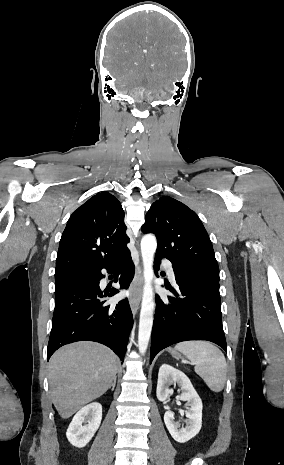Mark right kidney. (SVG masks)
Listing matches in <instances>:
<instances>
[{
  "instance_id": "right-kidney-1",
  "label": "right kidney",
  "mask_w": 284,
  "mask_h": 465,
  "mask_svg": "<svg viewBox=\"0 0 284 465\" xmlns=\"http://www.w3.org/2000/svg\"><path fill=\"white\" fill-rule=\"evenodd\" d=\"M102 419V407L100 403H90L80 409L73 417L66 433V437L74 447H85L97 429Z\"/></svg>"
}]
</instances>
